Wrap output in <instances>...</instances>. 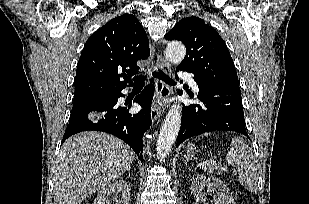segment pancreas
I'll return each instance as SVG.
<instances>
[{"label": "pancreas", "instance_id": "cf45deb5", "mask_svg": "<svg viewBox=\"0 0 309 204\" xmlns=\"http://www.w3.org/2000/svg\"><path fill=\"white\" fill-rule=\"evenodd\" d=\"M204 170L208 171L209 173H214L218 175L221 174V170L212 163L205 165Z\"/></svg>", "mask_w": 309, "mask_h": 204}]
</instances>
